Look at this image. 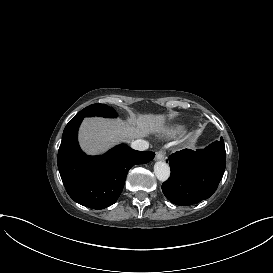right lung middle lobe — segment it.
<instances>
[{
  "label": "right lung middle lobe",
  "mask_w": 273,
  "mask_h": 273,
  "mask_svg": "<svg viewBox=\"0 0 273 273\" xmlns=\"http://www.w3.org/2000/svg\"><path fill=\"white\" fill-rule=\"evenodd\" d=\"M88 116L116 117L117 113L112 107L106 104H92L77 113L74 118H84Z\"/></svg>",
  "instance_id": "obj_1"
}]
</instances>
